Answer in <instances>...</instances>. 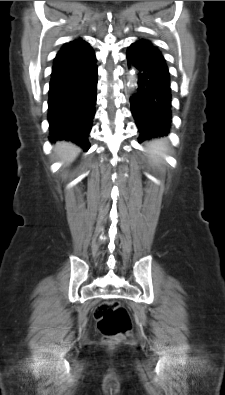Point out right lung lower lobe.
Segmentation results:
<instances>
[{
	"instance_id": "right-lung-lower-lobe-1",
	"label": "right lung lower lobe",
	"mask_w": 225,
	"mask_h": 395,
	"mask_svg": "<svg viewBox=\"0 0 225 395\" xmlns=\"http://www.w3.org/2000/svg\"><path fill=\"white\" fill-rule=\"evenodd\" d=\"M48 100L50 141H72L84 151L95 114L98 71L96 58L88 65L51 74Z\"/></svg>"
}]
</instances>
